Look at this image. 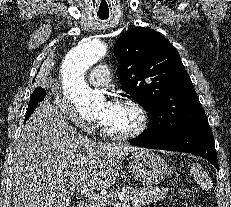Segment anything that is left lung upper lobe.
<instances>
[{"label": "left lung upper lobe", "instance_id": "obj_1", "mask_svg": "<svg viewBox=\"0 0 231 207\" xmlns=\"http://www.w3.org/2000/svg\"><path fill=\"white\" fill-rule=\"evenodd\" d=\"M121 88L149 111L141 136L166 141L197 128H210L178 51L163 36L137 27L114 46Z\"/></svg>", "mask_w": 231, "mask_h": 207}]
</instances>
